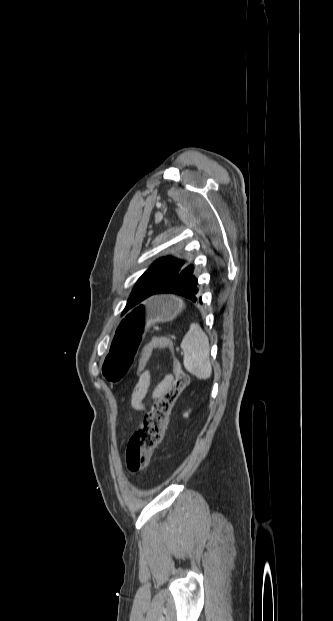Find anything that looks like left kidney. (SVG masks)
Segmentation results:
<instances>
[{
  "instance_id": "left-kidney-1",
  "label": "left kidney",
  "mask_w": 333,
  "mask_h": 621,
  "mask_svg": "<svg viewBox=\"0 0 333 621\" xmlns=\"http://www.w3.org/2000/svg\"><path fill=\"white\" fill-rule=\"evenodd\" d=\"M184 416H185V417H188V413H185V414H184Z\"/></svg>"
}]
</instances>
